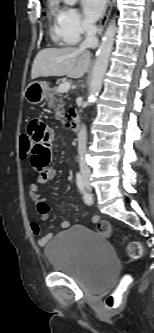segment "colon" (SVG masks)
Returning <instances> with one entry per match:
<instances>
[{
  "label": "colon",
  "mask_w": 154,
  "mask_h": 333,
  "mask_svg": "<svg viewBox=\"0 0 154 333\" xmlns=\"http://www.w3.org/2000/svg\"><path fill=\"white\" fill-rule=\"evenodd\" d=\"M31 140L27 134H23L19 140L20 156L26 159L30 156L31 152ZM97 232L105 236L106 238L112 237V228L109 222L101 221L97 224ZM144 255V247L139 241H132L127 246V256L132 260L140 259ZM128 287V280L121 281L117 289L109 294L105 299V304L108 308H117L120 306L122 296Z\"/></svg>",
  "instance_id": "colon-1"
}]
</instances>
